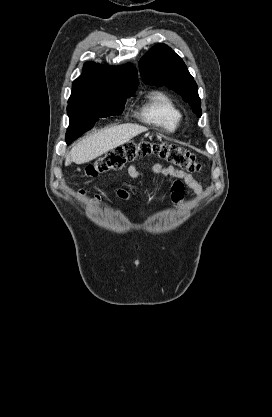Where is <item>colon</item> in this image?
I'll list each match as a JSON object with an SVG mask.
<instances>
[{
  "instance_id": "colon-1",
  "label": "colon",
  "mask_w": 272,
  "mask_h": 417,
  "mask_svg": "<svg viewBox=\"0 0 272 417\" xmlns=\"http://www.w3.org/2000/svg\"><path fill=\"white\" fill-rule=\"evenodd\" d=\"M149 155H158L186 172H197L201 168L197 157L193 153L176 144L141 140L128 142L109 151L88 165L85 174L88 177H96L109 171L120 170L128 162Z\"/></svg>"
}]
</instances>
